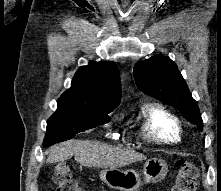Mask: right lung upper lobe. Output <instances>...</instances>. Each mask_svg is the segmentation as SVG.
Instances as JSON below:
<instances>
[{"label":"right lung upper lobe","mask_w":221,"mask_h":191,"mask_svg":"<svg viewBox=\"0 0 221 191\" xmlns=\"http://www.w3.org/2000/svg\"><path fill=\"white\" fill-rule=\"evenodd\" d=\"M121 82L114 62H95L80 67L71 83L57 100L59 108L112 112L120 103Z\"/></svg>","instance_id":"obj_1"}]
</instances>
